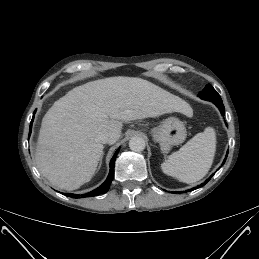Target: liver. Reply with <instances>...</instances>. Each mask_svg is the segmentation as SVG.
I'll list each match as a JSON object with an SVG mask.
<instances>
[{
    "mask_svg": "<svg viewBox=\"0 0 259 259\" xmlns=\"http://www.w3.org/2000/svg\"><path fill=\"white\" fill-rule=\"evenodd\" d=\"M180 112L190 105L161 87L136 77H109L73 88L55 101L44 115L35 162L40 173L56 188L75 190L93 177L104 146L96 140L121 136L122 121Z\"/></svg>",
    "mask_w": 259,
    "mask_h": 259,
    "instance_id": "1",
    "label": "liver"
}]
</instances>
